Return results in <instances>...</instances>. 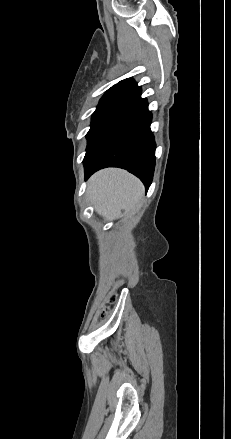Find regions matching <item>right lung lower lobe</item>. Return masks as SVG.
<instances>
[{"mask_svg":"<svg viewBox=\"0 0 231 439\" xmlns=\"http://www.w3.org/2000/svg\"><path fill=\"white\" fill-rule=\"evenodd\" d=\"M141 115L108 134L83 160L85 178L105 167H120L140 178L146 190L155 167L156 144L150 130L152 115L146 98L135 97Z\"/></svg>","mask_w":231,"mask_h":439,"instance_id":"1","label":"right lung lower lobe"}]
</instances>
